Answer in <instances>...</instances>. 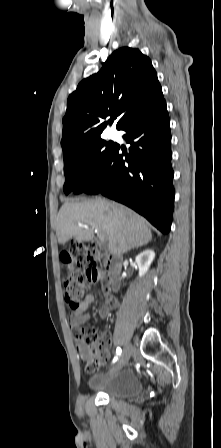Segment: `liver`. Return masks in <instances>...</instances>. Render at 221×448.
Masks as SVG:
<instances>
[{"label":"liver","mask_w":221,"mask_h":448,"mask_svg":"<svg viewBox=\"0 0 221 448\" xmlns=\"http://www.w3.org/2000/svg\"><path fill=\"white\" fill-rule=\"evenodd\" d=\"M94 229L104 235L114 255L127 253L152 239L147 221L119 203L95 199L67 202L61 207L56 221L59 244L64 245L71 238L78 242L91 241Z\"/></svg>","instance_id":"1"}]
</instances>
